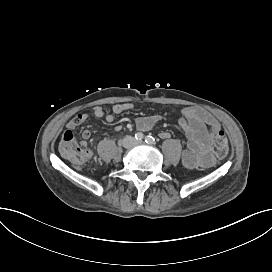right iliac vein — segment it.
Wrapping results in <instances>:
<instances>
[{
	"instance_id": "63e3f726",
	"label": "right iliac vein",
	"mask_w": 272,
	"mask_h": 272,
	"mask_svg": "<svg viewBox=\"0 0 272 272\" xmlns=\"http://www.w3.org/2000/svg\"><path fill=\"white\" fill-rule=\"evenodd\" d=\"M132 143H133L132 140L130 138H127L124 140L123 145L124 147L129 148L132 145Z\"/></svg>"
}]
</instances>
